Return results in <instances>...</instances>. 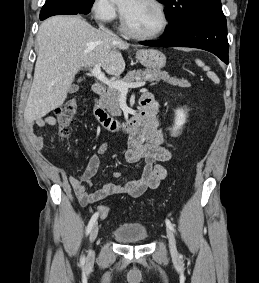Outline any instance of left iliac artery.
<instances>
[{"label":"left iliac artery","instance_id":"obj_1","mask_svg":"<svg viewBox=\"0 0 259 283\" xmlns=\"http://www.w3.org/2000/svg\"><path fill=\"white\" fill-rule=\"evenodd\" d=\"M165 222H166L167 227L170 228L173 232H175L174 226H173V224L170 222V220H169V219H166Z\"/></svg>","mask_w":259,"mask_h":283}]
</instances>
